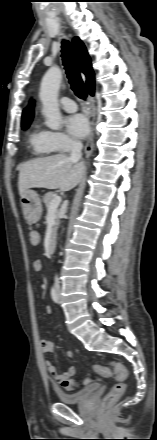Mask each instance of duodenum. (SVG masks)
<instances>
[{
    "label": "duodenum",
    "instance_id": "1",
    "mask_svg": "<svg viewBox=\"0 0 157 440\" xmlns=\"http://www.w3.org/2000/svg\"><path fill=\"white\" fill-rule=\"evenodd\" d=\"M55 247H56V238L55 237H51L49 242H48V252L50 254H53L55 251Z\"/></svg>",
    "mask_w": 157,
    "mask_h": 440
}]
</instances>
